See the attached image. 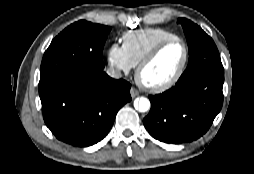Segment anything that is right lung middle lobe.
<instances>
[{
    "mask_svg": "<svg viewBox=\"0 0 254 174\" xmlns=\"http://www.w3.org/2000/svg\"><path fill=\"white\" fill-rule=\"evenodd\" d=\"M110 30L85 20L65 28L44 53L39 86L77 71L103 70L102 51Z\"/></svg>",
    "mask_w": 254,
    "mask_h": 174,
    "instance_id": "obj_1",
    "label": "right lung middle lobe"
}]
</instances>
